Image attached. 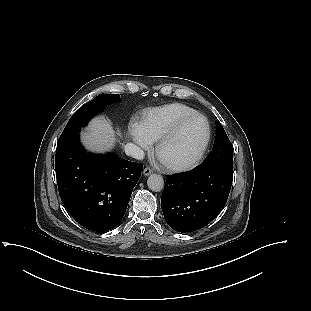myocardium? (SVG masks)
I'll return each mask as SVG.
<instances>
[{
	"label": "myocardium",
	"mask_w": 311,
	"mask_h": 311,
	"mask_svg": "<svg viewBox=\"0 0 311 311\" xmlns=\"http://www.w3.org/2000/svg\"><path fill=\"white\" fill-rule=\"evenodd\" d=\"M194 118L202 119L205 124V138L200 149L196 153V155L191 160L187 162H183V163H170V162L163 161L160 157V152L162 148L180 132V130L183 128V126L187 122H189L190 120ZM210 139H211V127H210L208 119L201 113L196 112V113H193V114H190V115H187L181 118L170 130H168L165 134H163L160 137V139L157 141V145L155 149L156 155L158 159L161 161V163L164 165V167L168 169L169 171H172V172L188 171L190 169H193L200 163V161L202 160V158L204 157L207 151V148L210 143Z\"/></svg>",
	"instance_id": "1"
}]
</instances>
